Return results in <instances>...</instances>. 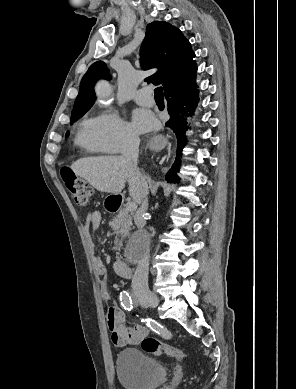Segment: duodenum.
<instances>
[{"label": "duodenum", "instance_id": "duodenum-1", "mask_svg": "<svg viewBox=\"0 0 296 389\" xmlns=\"http://www.w3.org/2000/svg\"><path fill=\"white\" fill-rule=\"evenodd\" d=\"M120 205L121 199L115 198L109 202L107 208L110 212H115L119 209ZM114 270L119 276L123 278H128L131 276V268L124 261H116L114 263Z\"/></svg>", "mask_w": 296, "mask_h": 389}]
</instances>
